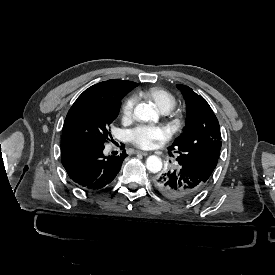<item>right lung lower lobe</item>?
Instances as JSON below:
<instances>
[{
  "label": "right lung lower lobe",
  "mask_w": 275,
  "mask_h": 275,
  "mask_svg": "<svg viewBox=\"0 0 275 275\" xmlns=\"http://www.w3.org/2000/svg\"><path fill=\"white\" fill-rule=\"evenodd\" d=\"M103 150V144L92 141H62L61 161L70 179L85 190H98L111 183L127 154L123 150L119 156H104Z\"/></svg>",
  "instance_id": "right-lung-lower-lobe-1"
}]
</instances>
